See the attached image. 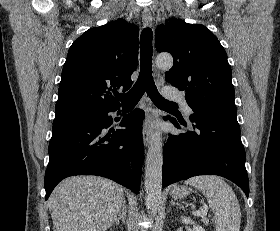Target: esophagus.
Returning a JSON list of instances; mask_svg holds the SVG:
<instances>
[{
  "mask_svg": "<svg viewBox=\"0 0 280 231\" xmlns=\"http://www.w3.org/2000/svg\"><path fill=\"white\" fill-rule=\"evenodd\" d=\"M142 20L145 27L152 26V14L148 7H145L142 12ZM152 119H153V114L151 113V109L149 108L147 109L144 126H143V143L146 147L149 146V142H150V137H151L150 124Z\"/></svg>",
  "mask_w": 280,
  "mask_h": 231,
  "instance_id": "obj_1",
  "label": "esophagus"
}]
</instances>
